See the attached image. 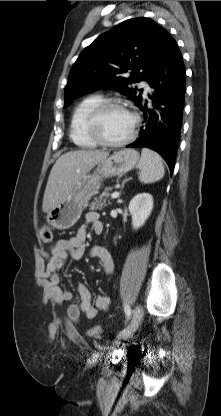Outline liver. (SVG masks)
<instances>
[{
	"mask_svg": "<svg viewBox=\"0 0 221 416\" xmlns=\"http://www.w3.org/2000/svg\"><path fill=\"white\" fill-rule=\"evenodd\" d=\"M109 156L106 151L76 150L61 155L51 169L42 210L50 212L73 190L78 181Z\"/></svg>",
	"mask_w": 221,
	"mask_h": 416,
	"instance_id": "liver-1",
	"label": "liver"
}]
</instances>
